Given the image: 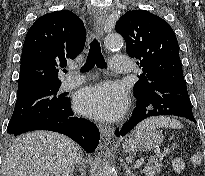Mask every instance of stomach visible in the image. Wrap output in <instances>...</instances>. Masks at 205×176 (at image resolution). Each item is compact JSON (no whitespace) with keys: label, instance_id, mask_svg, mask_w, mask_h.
Returning a JSON list of instances; mask_svg holds the SVG:
<instances>
[{"label":"stomach","instance_id":"obj_1","mask_svg":"<svg viewBox=\"0 0 205 176\" xmlns=\"http://www.w3.org/2000/svg\"><path fill=\"white\" fill-rule=\"evenodd\" d=\"M162 132L156 128H136L123 141V149L126 152L149 151L163 142Z\"/></svg>","mask_w":205,"mask_h":176}]
</instances>
